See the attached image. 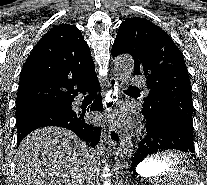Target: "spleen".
Instances as JSON below:
<instances>
[{
	"instance_id": "3e777b00",
	"label": "spleen",
	"mask_w": 207,
	"mask_h": 185,
	"mask_svg": "<svg viewBox=\"0 0 207 185\" xmlns=\"http://www.w3.org/2000/svg\"><path fill=\"white\" fill-rule=\"evenodd\" d=\"M177 156V151L172 153H156V158H164V163H170V158ZM173 164H180L181 169L173 167L169 170L168 178H164L162 185H195L198 183V170H194L191 158L173 159ZM155 183H160V178H155Z\"/></svg>"
}]
</instances>
